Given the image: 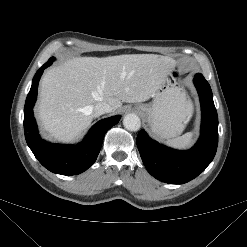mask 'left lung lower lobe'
Instances as JSON below:
<instances>
[{"mask_svg":"<svg viewBox=\"0 0 247 247\" xmlns=\"http://www.w3.org/2000/svg\"><path fill=\"white\" fill-rule=\"evenodd\" d=\"M201 110V136L193 148L178 151L150 139L144 130L137 136V147L148 172L170 184H183L197 177L212 162L218 145V116L210 85L202 74L193 79Z\"/></svg>","mask_w":247,"mask_h":247,"instance_id":"obj_1","label":"left lung lower lobe"}]
</instances>
